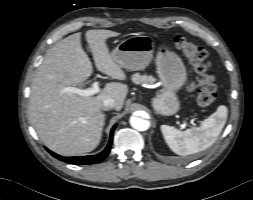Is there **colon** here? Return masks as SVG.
<instances>
[{
  "label": "colon",
  "instance_id": "colon-1",
  "mask_svg": "<svg viewBox=\"0 0 253 200\" xmlns=\"http://www.w3.org/2000/svg\"><path fill=\"white\" fill-rule=\"evenodd\" d=\"M173 43L195 68L198 74L197 103L202 108H208L216 99L217 88L214 77L208 73L211 62L207 51L182 36L174 37Z\"/></svg>",
  "mask_w": 253,
  "mask_h": 200
}]
</instances>
